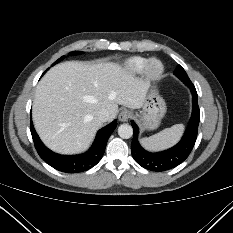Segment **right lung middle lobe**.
Here are the masks:
<instances>
[{
	"label": "right lung middle lobe",
	"mask_w": 233,
	"mask_h": 233,
	"mask_svg": "<svg viewBox=\"0 0 233 233\" xmlns=\"http://www.w3.org/2000/svg\"><path fill=\"white\" fill-rule=\"evenodd\" d=\"M81 51H75L72 54H81ZM64 58V56H62L60 59H58L56 62L53 63V65H55L56 63H58L59 61H61Z\"/></svg>",
	"instance_id": "dd1d6c3e"
}]
</instances>
